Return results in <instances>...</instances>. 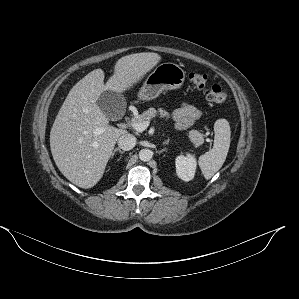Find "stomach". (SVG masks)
Masks as SVG:
<instances>
[{
  "label": "stomach",
  "mask_w": 299,
  "mask_h": 299,
  "mask_svg": "<svg viewBox=\"0 0 299 299\" xmlns=\"http://www.w3.org/2000/svg\"><path fill=\"white\" fill-rule=\"evenodd\" d=\"M185 71L177 64L166 62L158 65L146 78L138 92V99L149 101L158 97L164 90H177L182 87Z\"/></svg>",
  "instance_id": "0dacf381"
}]
</instances>
